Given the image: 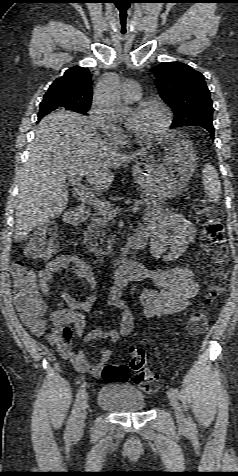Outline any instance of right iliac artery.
Wrapping results in <instances>:
<instances>
[{
	"instance_id": "right-iliac-artery-1",
	"label": "right iliac artery",
	"mask_w": 238,
	"mask_h": 476,
	"mask_svg": "<svg viewBox=\"0 0 238 476\" xmlns=\"http://www.w3.org/2000/svg\"><path fill=\"white\" fill-rule=\"evenodd\" d=\"M85 391H86V382H84L80 386V388L78 390V393L76 395V400H75V403H74V406H73L72 414L70 416V419L68 421L66 431H65V438L67 440L70 439L71 436H72L75 420H76L77 414L80 410V407L82 405V400L85 397Z\"/></svg>"
}]
</instances>
